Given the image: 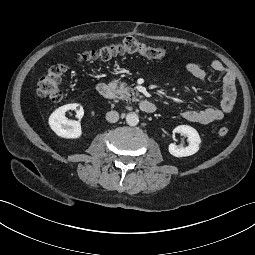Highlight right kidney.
I'll return each instance as SVG.
<instances>
[{
	"label": "right kidney",
	"instance_id": "ca27d5eb",
	"mask_svg": "<svg viewBox=\"0 0 255 255\" xmlns=\"http://www.w3.org/2000/svg\"><path fill=\"white\" fill-rule=\"evenodd\" d=\"M69 110L76 111V117L81 119L84 115V109L80 104H66L56 109L49 117L51 129L60 137L67 139H76L81 137V125L79 121L68 120L65 116Z\"/></svg>",
	"mask_w": 255,
	"mask_h": 255
}]
</instances>
